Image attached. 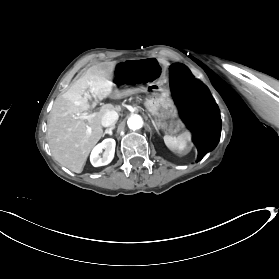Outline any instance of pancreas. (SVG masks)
I'll return each mask as SVG.
<instances>
[{"mask_svg": "<svg viewBox=\"0 0 279 279\" xmlns=\"http://www.w3.org/2000/svg\"><path fill=\"white\" fill-rule=\"evenodd\" d=\"M119 92H123V91H117L116 90V94H118ZM115 98H121V96H115Z\"/></svg>", "mask_w": 279, "mask_h": 279, "instance_id": "cf45deb5", "label": "pancreas"}]
</instances>
